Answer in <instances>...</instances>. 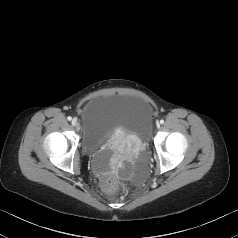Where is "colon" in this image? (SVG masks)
I'll return each mask as SVG.
<instances>
[{
    "label": "colon",
    "instance_id": "obj_1",
    "mask_svg": "<svg viewBox=\"0 0 238 238\" xmlns=\"http://www.w3.org/2000/svg\"><path fill=\"white\" fill-rule=\"evenodd\" d=\"M97 182L107 192H113L118 187V182L114 177H101L97 178Z\"/></svg>",
    "mask_w": 238,
    "mask_h": 238
}]
</instances>
